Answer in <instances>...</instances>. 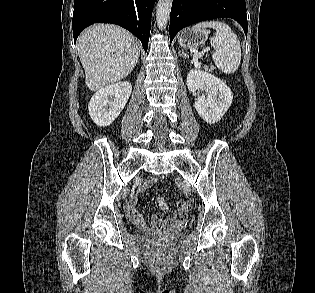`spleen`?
<instances>
[{"label":"spleen","mask_w":315,"mask_h":293,"mask_svg":"<svg viewBox=\"0 0 315 293\" xmlns=\"http://www.w3.org/2000/svg\"><path fill=\"white\" fill-rule=\"evenodd\" d=\"M206 28H212L216 34L210 39L214 47L212 59L222 72L232 74L241 62L240 41L231 28L220 21H204L191 27V31H204Z\"/></svg>","instance_id":"1"}]
</instances>
